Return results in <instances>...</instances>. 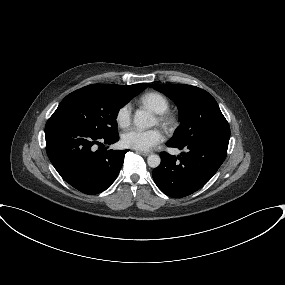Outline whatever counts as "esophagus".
Instances as JSON below:
<instances>
[{"instance_id":"obj_1","label":"esophagus","mask_w":285,"mask_h":285,"mask_svg":"<svg viewBox=\"0 0 285 285\" xmlns=\"http://www.w3.org/2000/svg\"><path fill=\"white\" fill-rule=\"evenodd\" d=\"M139 154L143 155V156H149L151 153L150 152H143V151H137Z\"/></svg>"}]
</instances>
